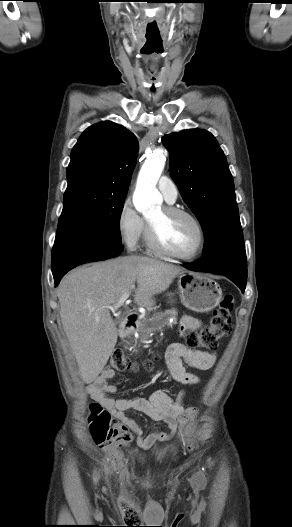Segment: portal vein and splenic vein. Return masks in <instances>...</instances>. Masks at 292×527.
I'll use <instances>...</instances> for the list:
<instances>
[{
  "label": "portal vein and splenic vein",
  "instance_id": "portal-vein-and-splenic-vein-1",
  "mask_svg": "<svg viewBox=\"0 0 292 527\" xmlns=\"http://www.w3.org/2000/svg\"><path fill=\"white\" fill-rule=\"evenodd\" d=\"M130 296V293H125L117 303H115L113 306L109 307V309L112 311V312H115L117 311L126 301L127 299L129 298Z\"/></svg>",
  "mask_w": 292,
  "mask_h": 527
}]
</instances>
